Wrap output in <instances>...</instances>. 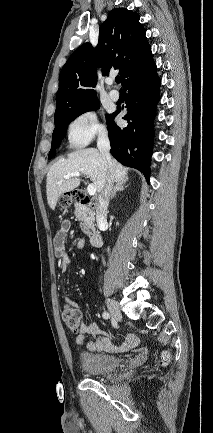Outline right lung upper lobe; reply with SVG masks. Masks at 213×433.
Instances as JSON below:
<instances>
[{
	"label": "right lung upper lobe",
	"instance_id": "cb5924a9",
	"mask_svg": "<svg viewBox=\"0 0 213 433\" xmlns=\"http://www.w3.org/2000/svg\"><path fill=\"white\" fill-rule=\"evenodd\" d=\"M140 16L126 8L113 9L100 26L96 48L84 43L70 56L59 76L55 117L65 110L97 98L96 86L99 67L108 75L119 69L122 86L149 60L151 48L146 30L139 23Z\"/></svg>",
	"mask_w": 213,
	"mask_h": 433
}]
</instances>
